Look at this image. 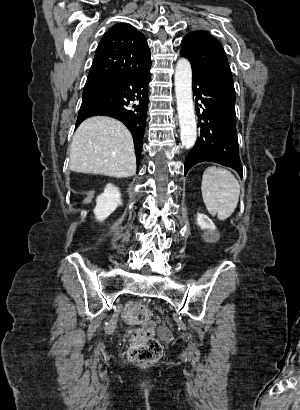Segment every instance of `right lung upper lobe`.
I'll use <instances>...</instances> for the list:
<instances>
[{
	"label": "right lung upper lobe",
	"instance_id": "cb5924a9",
	"mask_svg": "<svg viewBox=\"0 0 300 410\" xmlns=\"http://www.w3.org/2000/svg\"><path fill=\"white\" fill-rule=\"evenodd\" d=\"M151 66L145 36L127 23L112 26L101 39L88 75L89 83H105L128 72ZM141 147L136 148V155Z\"/></svg>",
	"mask_w": 300,
	"mask_h": 410
}]
</instances>
